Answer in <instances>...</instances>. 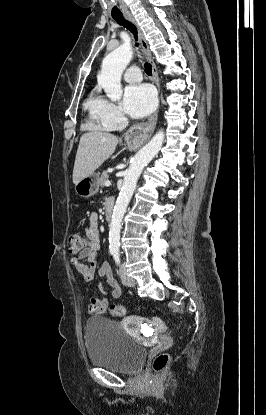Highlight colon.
<instances>
[{"label": "colon", "instance_id": "5ec220e1", "mask_svg": "<svg viewBox=\"0 0 266 415\" xmlns=\"http://www.w3.org/2000/svg\"><path fill=\"white\" fill-rule=\"evenodd\" d=\"M69 251L73 254L80 253L87 246L86 238L79 232L71 233L69 236ZM113 316L121 317L125 314V307L121 304H112L109 308ZM150 325L157 331H165L166 324L158 317H153L150 320ZM169 362V355L167 353L158 354L152 362V369L155 372L162 371Z\"/></svg>", "mask_w": 266, "mask_h": 415}]
</instances>
